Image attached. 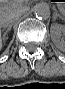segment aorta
<instances>
[{"label":"aorta","mask_w":65,"mask_h":89,"mask_svg":"<svg viewBox=\"0 0 65 89\" xmlns=\"http://www.w3.org/2000/svg\"><path fill=\"white\" fill-rule=\"evenodd\" d=\"M34 15L41 21H46L51 17V11L46 3H38L33 8Z\"/></svg>","instance_id":"1"}]
</instances>
